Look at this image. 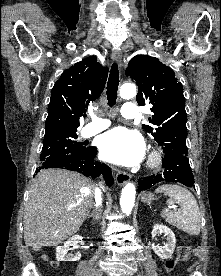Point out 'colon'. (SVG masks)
<instances>
[{"instance_id":"1","label":"colon","mask_w":221,"mask_h":276,"mask_svg":"<svg viewBox=\"0 0 221 276\" xmlns=\"http://www.w3.org/2000/svg\"><path fill=\"white\" fill-rule=\"evenodd\" d=\"M191 254V246L182 245L178 248V256L176 260H168L165 262V270L167 272L173 271L177 262H185ZM56 264V263H54Z\"/></svg>"}]
</instances>
